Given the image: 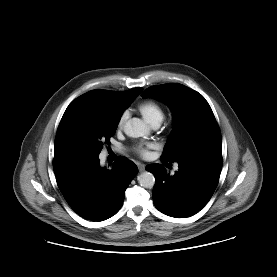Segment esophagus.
<instances>
[{"instance_id": "obj_1", "label": "esophagus", "mask_w": 277, "mask_h": 277, "mask_svg": "<svg viewBox=\"0 0 277 277\" xmlns=\"http://www.w3.org/2000/svg\"><path fill=\"white\" fill-rule=\"evenodd\" d=\"M138 169L140 172L145 171V165L144 164H138Z\"/></svg>"}]
</instances>
